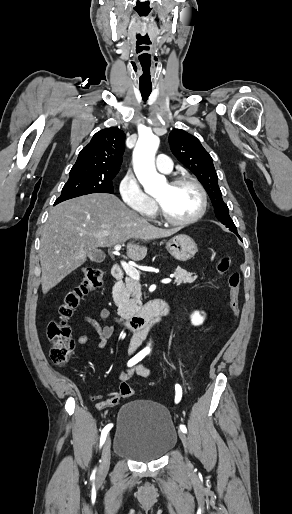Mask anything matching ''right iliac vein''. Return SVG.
<instances>
[{"instance_id":"right-iliac-vein-1","label":"right iliac vein","mask_w":292,"mask_h":514,"mask_svg":"<svg viewBox=\"0 0 292 514\" xmlns=\"http://www.w3.org/2000/svg\"><path fill=\"white\" fill-rule=\"evenodd\" d=\"M110 459H111V439L108 437L106 439V442L104 444L103 450H102V456L100 460L99 470H98V476L100 478H103L106 476L109 466H110Z\"/></svg>"}]
</instances>
